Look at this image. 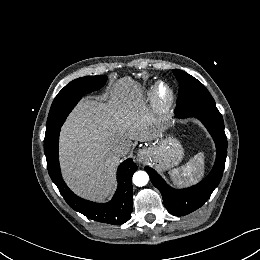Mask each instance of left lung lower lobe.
<instances>
[{"mask_svg":"<svg viewBox=\"0 0 260 260\" xmlns=\"http://www.w3.org/2000/svg\"><path fill=\"white\" fill-rule=\"evenodd\" d=\"M176 117H196L208 129L216 144L217 155L210 174L199 184L182 190H174L150 167H145L152 184L161 192L166 209L173 215L183 216L200 208L218 186L227 156V138L222 115L216 106L196 105L180 112Z\"/></svg>","mask_w":260,"mask_h":260,"instance_id":"1","label":"left lung lower lobe"}]
</instances>
